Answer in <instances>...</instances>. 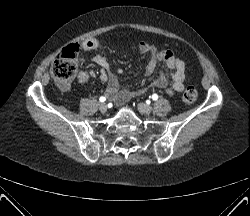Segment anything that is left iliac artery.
<instances>
[{"instance_id": "obj_1", "label": "left iliac artery", "mask_w": 250, "mask_h": 216, "mask_svg": "<svg viewBox=\"0 0 250 216\" xmlns=\"http://www.w3.org/2000/svg\"><path fill=\"white\" fill-rule=\"evenodd\" d=\"M152 99H153L154 101H156V100L158 99V95H157V94H153V95H152Z\"/></svg>"}]
</instances>
